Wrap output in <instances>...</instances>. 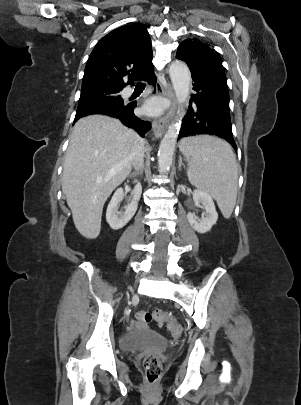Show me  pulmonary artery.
<instances>
[{"label": "pulmonary artery", "instance_id": "e3ab8cb5", "mask_svg": "<svg viewBox=\"0 0 301 405\" xmlns=\"http://www.w3.org/2000/svg\"><path fill=\"white\" fill-rule=\"evenodd\" d=\"M123 93H124V95L128 96L132 93V89L126 88Z\"/></svg>", "mask_w": 301, "mask_h": 405}]
</instances>
